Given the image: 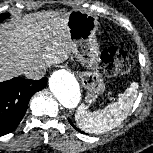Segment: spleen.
<instances>
[{
	"mask_svg": "<svg viewBox=\"0 0 153 153\" xmlns=\"http://www.w3.org/2000/svg\"><path fill=\"white\" fill-rule=\"evenodd\" d=\"M137 89L138 83H131L116 102L107 105L103 110L87 112L85 105H81L75 115L77 125L83 131L95 134L112 130L127 118L134 105Z\"/></svg>",
	"mask_w": 153,
	"mask_h": 153,
	"instance_id": "spleen-1",
	"label": "spleen"
}]
</instances>
